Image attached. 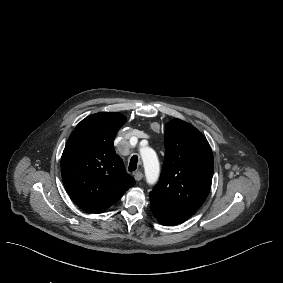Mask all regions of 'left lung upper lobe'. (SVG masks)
Wrapping results in <instances>:
<instances>
[{
	"label": "left lung upper lobe",
	"instance_id": "5c2ea615",
	"mask_svg": "<svg viewBox=\"0 0 283 283\" xmlns=\"http://www.w3.org/2000/svg\"><path fill=\"white\" fill-rule=\"evenodd\" d=\"M165 159L159 184L150 198L196 211L209 194L214 160L204 135L174 119L165 127Z\"/></svg>",
	"mask_w": 283,
	"mask_h": 283
}]
</instances>
